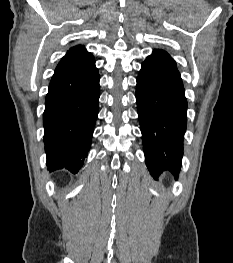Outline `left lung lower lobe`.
Wrapping results in <instances>:
<instances>
[{"label": "left lung lower lobe", "instance_id": "0a47b994", "mask_svg": "<svg viewBox=\"0 0 233 263\" xmlns=\"http://www.w3.org/2000/svg\"><path fill=\"white\" fill-rule=\"evenodd\" d=\"M137 111L146 164L154 178L169 170L177 176L183 156L187 100L175 61L154 50L142 63L136 86Z\"/></svg>", "mask_w": 233, "mask_h": 263}]
</instances>
